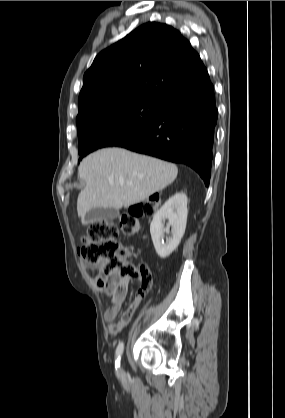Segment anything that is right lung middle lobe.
I'll use <instances>...</instances> for the list:
<instances>
[{
	"mask_svg": "<svg viewBox=\"0 0 285 418\" xmlns=\"http://www.w3.org/2000/svg\"><path fill=\"white\" fill-rule=\"evenodd\" d=\"M161 111L162 104L136 101L109 106L77 122L79 161L94 150L115 146L134 136Z\"/></svg>",
	"mask_w": 285,
	"mask_h": 418,
	"instance_id": "obj_1",
	"label": "right lung middle lobe"
}]
</instances>
